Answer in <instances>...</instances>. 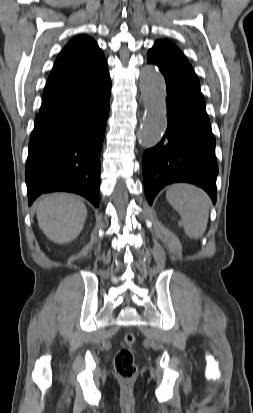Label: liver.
<instances>
[{
	"mask_svg": "<svg viewBox=\"0 0 253 413\" xmlns=\"http://www.w3.org/2000/svg\"><path fill=\"white\" fill-rule=\"evenodd\" d=\"M40 229L48 239L58 244L75 240L81 233L87 209L78 197L67 193L42 196L36 204Z\"/></svg>",
	"mask_w": 253,
	"mask_h": 413,
	"instance_id": "6515ba94",
	"label": "liver"
}]
</instances>
